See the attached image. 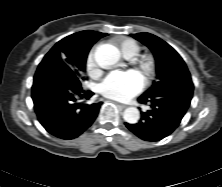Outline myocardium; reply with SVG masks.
Here are the masks:
<instances>
[{"label": "myocardium", "mask_w": 222, "mask_h": 187, "mask_svg": "<svg viewBox=\"0 0 222 187\" xmlns=\"http://www.w3.org/2000/svg\"><path fill=\"white\" fill-rule=\"evenodd\" d=\"M139 69L148 77L155 73L156 64L151 55H142L134 60Z\"/></svg>", "instance_id": "f54148a6"}]
</instances>
